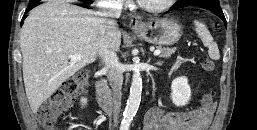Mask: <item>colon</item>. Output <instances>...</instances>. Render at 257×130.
<instances>
[{"label": "colon", "instance_id": "colon-1", "mask_svg": "<svg viewBox=\"0 0 257 130\" xmlns=\"http://www.w3.org/2000/svg\"><path fill=\"white\" fill-rule=\"evenodd\" d=\"M203 68L207 72L214 69V62L206 59ZM88 85V73L81 71L74 77L66 80L39 108L36 113L38 123L46 130H54L58 121L72 108L79 94ZM215 91L210 89L201 99V106L204 109L210 108L213 104Z\"/></svg>", "mask_w": 257, "mask_h": 130}]
</instances>
